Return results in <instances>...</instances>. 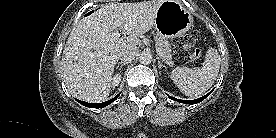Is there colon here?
Masks as SVG:
<instances>
[{
  "mask_svg": "<svg viewBox=\"0 0 276 138\" xmlns=\"http://www.w3.org/2000/svg\"><path fill=\"white\" fill-rule=\"evenodd\" d=\"M200 37V33L194 31L174 41V60L176 63L185 64L199 59L202 52L201 49L195 47V44Z\"/></svg>",
  "mask_w": 276,
  "mask_h": 138,
  "instance_id": "obj_1",
  "label": "colon"
}]
</instances>
